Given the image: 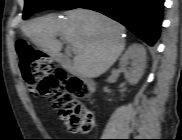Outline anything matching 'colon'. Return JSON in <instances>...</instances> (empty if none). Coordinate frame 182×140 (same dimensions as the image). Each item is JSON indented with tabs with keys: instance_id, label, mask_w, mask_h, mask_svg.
<instances>
[{
	"instance_id": "obj_1",
	"label": "colon",
	"mask_w": 182,
	"mask_h": 140,
	"mask_svg": "<svg viewBox=\"0 0 182 140\" xmlns=\"http://www.w3.org/2000/svg\"><path fill=\"white\" fill-rule=\"evenodd\" d=\"M15 46L29 92L48 99L60 111L71 132L91 131L95 126L94 116L80 102L87 96L83 81L55 68L47 54L32 47L26 40H18Z\"/></svg>"
}]
</instances>
